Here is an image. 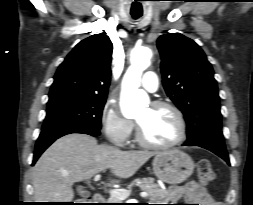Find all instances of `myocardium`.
Masks as SVG:
<instances>
[{
  "label": "myocardium",
  "instance_id": "myocardium-1",
  "mask_svg": "<svg viewBox=\"0 0 253 205\" xmlns=\"http://www.w3.org/2000/svg\"><path fill=\"white\" fill-rule=\"evenodd\" d=\"M150 105L153 108H166V109L171 110L174 113L178 122V126H179L178 136L172 142H169L166 144L152 143L143 136L141 129L139 127V124L136 122L135 123V138L138 144H140L141 146L145 148L153 149V150L170 149L181 144L185 140L186 134H187V124H186V120L182 111L175 104L168 101H163V100L153 101Z\"/></svg>",
  "mask_w": 253,
  "mask_h": 205
}]
</instances>
